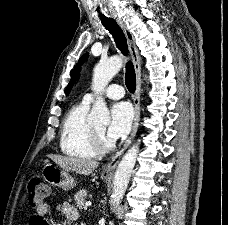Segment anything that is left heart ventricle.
Here are the masks:
<instances>
[{
    "instance_id": "b2bd125f",
    "label": "left heart ventricle",
    "mask_w": 228,
    "mask_h": 225,
    "mask_svg": "<svg viewBox=\"0 0 228 225\" xmlns=\"http://www.w3.org/2000/svg\"><path fill=\"white\" fill-rule=\"evenodd\" d=\"M104 128L105 126H97L96 129L101 131V132H104Z\"/></svg>"
}]
</instances>
